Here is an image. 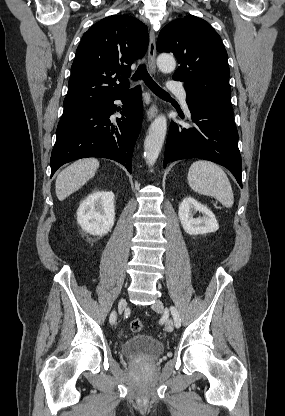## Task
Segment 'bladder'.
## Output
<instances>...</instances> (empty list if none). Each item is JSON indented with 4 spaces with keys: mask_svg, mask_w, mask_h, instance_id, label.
<instances>
[{
    "mask_svg": "<svg viewBox=\"0 0 285 416\" xmlns=\"http://www.w3.org/2000/svg\"><path fill=\"white\" fill-rule=\"evenodd\" d=\"M120 349L126 358L160 357L164 351V343L149 334H133L121 343Z\"/></svg>",
    "mask_w": 285,
    "mask_h": 416,
    "instance_id": "obj_1",
    "label": "bladder"
}]
</instances>
